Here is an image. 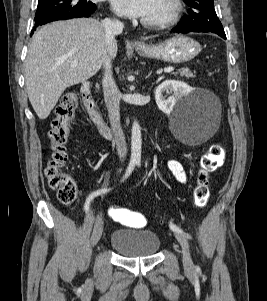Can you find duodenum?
I'll return each instance as SVG.
<instances>
[{
	"mask_svg": "<svg viewBox=\"0 0 267 301\" xmlns=\"http://www.w3.org/2000/svg\"><path fill=\"white\" fill-rule=\"evenodd\" d=\"M91 88L92 85L89 81L82 82L80 92L83 106L97 127L98 131L104 136H109L112 134V129L100 114L98 106L91 95Z\"/></svg>",
	"mask_w": 267,
	"mask_h": 301,
	"instance_id": "1",
	"label": "duodenum"
}]
</instances>
